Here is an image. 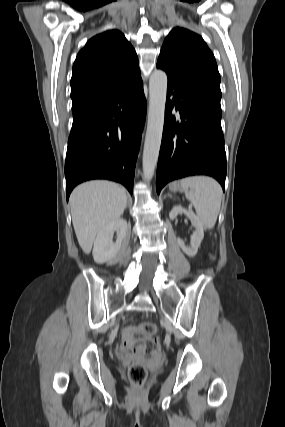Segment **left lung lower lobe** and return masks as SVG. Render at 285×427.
<instances>
[{"label": "left lung lower lobe", "instance_id": "left-lung-lower-lobe-1", "mask_svg": "<svg viewBox=\"0 0 285 427\" xmlns=\"http://www.w3.org/2000/svg\"><path fill=\"white\" fill-rule=\"evenodd\" d=\"M173 109L179 110L182 122L176 121ZM226 169L220 104L168 80L157 193L168 182L190 175L212 176L224 190Z\"/></svg>", "mask_w": 285, "mask_h": 427}]
</instances>
